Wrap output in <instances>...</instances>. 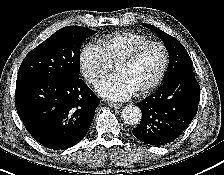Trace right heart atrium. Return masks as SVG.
Segmentation results:
<instances>
[{
	"label": "right heart atrium",
	"instance_id": "d8ad5b80",
	"mask_svg": "<svg viewBox=\"0 0 224 175\" xmlns=\"http://www.w3.org/2000/svg\"><path fill=\"white\" fill-rule=\"evenodd\" d=\"M80 67L86 80L97 85L109 73L112 64L100 46L87 44L80 53Z\"/></svg>",
	"mask_w": 224,
	"mask_h": 175
}]
</instances>
